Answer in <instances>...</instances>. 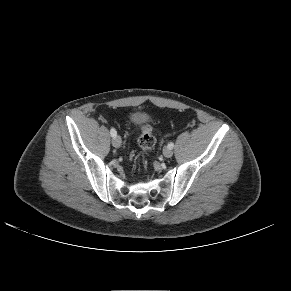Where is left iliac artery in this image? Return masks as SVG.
I'll return each instance as SVG.
<instances>
[{
	"label": "left iliac artery",
	"mask_w": 291,
	"mask_h": 291,
	"mask_svg": "<svg viewBox=\"0 0 291 291\" xmlns=\"http://www.w3.org/2000/svg\"><path fill=\"white\" fill-rule=\"evenodd\" d=\"M168 147L172 149V148L174 147V143H173V142H170V143L168 144Z\"/></svg>",
	"instance_id": "44dca946"
}]
</instances>
